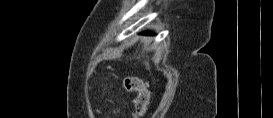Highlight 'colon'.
Masks as SVG:
<instances>
[{"mask_svg":"<svg viewBox=\"0 0 273 118\" xmlns=\"http://www.w3.org/2000/svg\"><path fill=\"white\" fill-rule=\"evenodd\" d=\"M123 86L126 91L136 93L134 103L135 116L141 118L145 115L149 104V92L143 80L139 77H126L123 80Z\"/></svg>","mask_w":273,"mask_h":118,"instance_id":"1","label":"colon"}]
</instances>
